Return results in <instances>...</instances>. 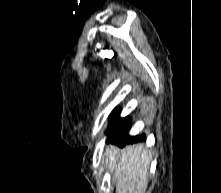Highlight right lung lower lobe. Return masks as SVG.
<instances>
[{
    "instance_id": "98d812e1",
    "label": "right lung lower lobe",
    "mask_w": 221,
    "mask_h": 193,
    "mask_svg": "<svg viewBox=\"0 0 221 193\" xmlns=\"http://www.w3.org/2000/svg\"><path fill=\"white\" fill-rule=\"evenodd\" d=\"M145 140V136L144 135H141V136H133V137H130L128 135H125L119 139H116L110 143H114L120 147L124 146L125 144L129 143V142H137V141H143Z\"/></svg>"
}]
</instances>
